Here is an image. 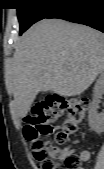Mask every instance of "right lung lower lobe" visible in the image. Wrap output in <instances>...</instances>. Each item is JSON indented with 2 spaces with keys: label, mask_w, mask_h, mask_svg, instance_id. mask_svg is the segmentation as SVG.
<instances>
[{
  "label": "right lung lower lobe",
  "mask_w": 104,
  "mask_h": 169,
  "mask_svg": "<svg viewBox=\"0 0 104 169\" xmlns=\"http://www.w3.org/2000/svg\"><path fill=\"white\" fill-rule=\"evenodd\" d=\"M47 18L64 19L104 32V0H70Z\"/></svg>",
  "instance_id": "obj_1"
}]
</instances>
